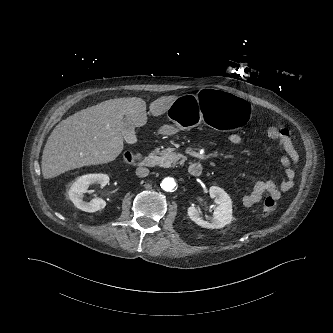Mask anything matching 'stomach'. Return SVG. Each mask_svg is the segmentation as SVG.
<instances>
[{
    "label": "stomach",
    "instance_id": "1",
    "mask_svg": "<svg viewBox=\"0 0 333 333\" xmlns=\"http://www.w3.org/2000/svg\"><path fill=\"white\" fill-rule=\"evenodd\" d=\"M168 110L175 117V122L159 128V133L163 135H173L190 128L196 122L197 114L217 131L242 127L251 116L250 104L244 97L216 88L204 89L198 95L180 96Z\"/></svg>",
    "mask_w": 333,
    "mask_h": 333
}]
</instances>
